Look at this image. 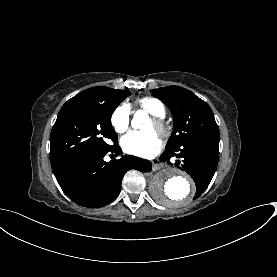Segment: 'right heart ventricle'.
Wrapping results in <instances>:
<instances>
[{"mask_svg":"<svg viewBox=\"0 0 277 277\" xmlns=\"http://www.w3.org/2000/svg\"><path fill=\"white\" fill-rule=\"evenodd\" d=\"M141 108L142 110L154 115L163 117L165 115L164 105L157 99L151 97H145L138 101L135 108ZM129 111L131 107L128 108ZM148 131V130H145Z\"/></svg>","mask_w":277,"mask_h":277,"instance_id":"e07e8e85","label":"right heart ventricle"}]
</instances>
